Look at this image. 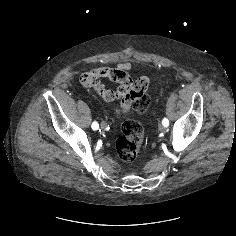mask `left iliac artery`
Wrapping results in <instances>:
<instances>
[{
  "mask_svg": "<svg viewBox=\"0 0 236 236\" xmlns=\"http://www.w3.org/2000/svg\"><path fill=\"white\" fill-rule=\"evenodd\" d=\"M162 124L165 126V127H168L169 126V120L167 118H164L162 120Z\"/></svg>",
  "mask_w": 236,
  "mask_h": 236,
  "instance_id": "left-iliac-artery-1",
  "label": "left iliac artery"
}]
</instances>
